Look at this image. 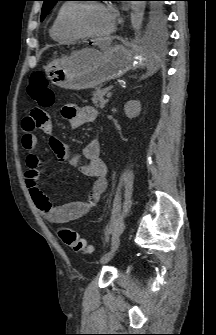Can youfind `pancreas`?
Instances as JSON below:
<instances>
[{
	"label": "pancreas",
	"instance_id": "cf45deb5",
	"mask_svg": "<svg viewBox=\"0 0 216 335\" xmlns=\"http://www.w3.org/2000/svg\"><path fill=\"white\" fill-rule=\"evenodd\" d=\"M109 92V88L97 89L93 93L92 102L97 108L103 109L108 102V99H105L106 94Z\"/></svg>",
	"mask_w": 216,
	"mask_h": 335
}]
</instances>
